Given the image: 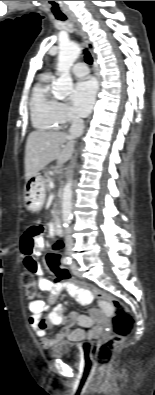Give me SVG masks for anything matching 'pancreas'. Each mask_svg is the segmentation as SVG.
Returning a JSON list of instances; mask_svg holds the SVG:
<instances>
[{"label":"pancreas","mask_w":155,"mask_h":395,"mask_svg":"<svg viewBox=\"0 0 155 395\" xmlns=\"http://www.w3.org/2000/svg\"><path fill=\"white\" fill-rule=\"evenodd\" d=\"M52 181V178L48 175V173H46V179H45V189L46 191H50L51 188L49 186V183Z\"/></svg>","instance_id":"pancreas-1"}]
</instances>
